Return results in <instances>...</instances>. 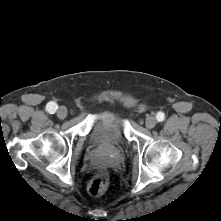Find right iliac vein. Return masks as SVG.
Masks as SVG:
<instances>
[{
  "mask_svg": "<svg viewBox=\"0 0 221 221\" xmlns=\"http://www.w3.org/2000/svg\"><path fill=\"white\" fill-rule=\"evenodd\" d=\"M67 114H68V111H67L66 107L61 106V107L58 108L57 116H58L59 119H65Z\"/></svg>",
  "mask_w": 221,
  "mask_h": 221,
  "instance_id": "right-iliac-vein-1",
  "label": "right iliac vein"
}]
</instances>
